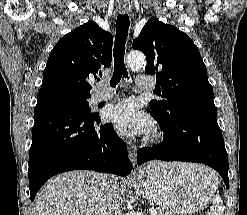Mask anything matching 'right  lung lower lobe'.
Returning <instances> with one entry per match:
<instances>
[{"mask_svg": "<svg viewBox=\"0 0 247 215\" xmlns=\"http://www.w3.org/2000/svg\"><path fill=\"white\" fill-rule=\"evenodd\" d=\"M29 151L31 201L52 176L86 169L120 176L132 170L125 143L99 115L84 113L49 96L38 95Z\"/></svg>", "mask_w": 247, "mask_h": 215, "instance_id": "right-lung-lower-lobe-1", "label": "right lung lower lobe"}]
</instances>
